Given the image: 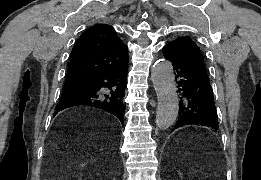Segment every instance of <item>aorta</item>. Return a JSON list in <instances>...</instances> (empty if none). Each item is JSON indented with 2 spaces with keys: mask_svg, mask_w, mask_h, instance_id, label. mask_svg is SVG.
Returning a JSON list of instances; mask_svg holds the SVG:
<instances>
[{
  "mask_svg": "<svg viewBox=\"0 0 261 180\" xmlns=\"http://www.w3.org/2000/svg\"><path fill=\"white\" fill-rule=\"evenodd\" d=\"M151 77L158 100L156 126L165 130L175 123L179 111V98L171 62L165 59L158 60L151 70Z\"/></svg>",
  "mask_w": 261,
  "mask_h": 180,
  "instance_id": "1",
  "label": "aorta"
}]
</instances>
